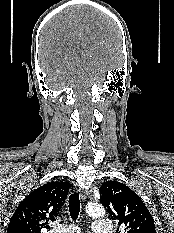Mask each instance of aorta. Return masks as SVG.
I'll return each mask as SVG.
<instances>
[{"label":"aorta","mask_w":174,"mask_h":233,"mask_svg":"<svg viewBox=\"0 0 174 233\" xmlns=\"http://www.w3.org/2000/svg\"><path fill=\"white\" fill-rule=\"evenodd\" d=\"M86 212L91 217H103L105 215V209L100 204L91 203L86 207Z\"/></svg>","instance_id":"aorta-1"}]
</instances>
